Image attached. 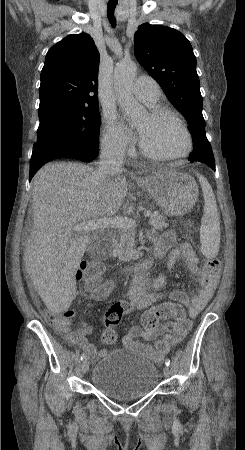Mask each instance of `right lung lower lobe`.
<instances>
[{
	"instance_id": "1",
	"label": "right lung lower lobe",
	"mask_w": 245,
	"mask_h": 450,
	"mask_svg": "<svg viewBox=\"0 0 245 450\" xmlns=\"http://www.w3.org/2000/svg\"><path fill=\"white\" fill-rule=\"evenodd\" d=\"M98 149L96 150H85V151H70V152H57V153H46L35 160L30 161V175L29 180L32 179L34 174L39 170V168L46 162L58 159V158H75L82 161H92L98 154Z\"/></svg>"
}]
</instances>
